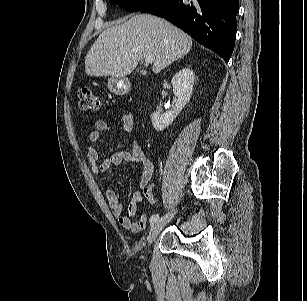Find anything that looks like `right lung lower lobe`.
<instances>
[{
  "mask_svg": "<svg viewBox=\"0 0 307 301\" xmlns=\"http://www.w3.org/2000/svg\"><path fill=\"white\" fill-rule=\"evenodd\" d=\"M239 0H157L142 12L163 17L225 61L234 50Z\"/></svg>",
  "mask_w": 307,
  "mask_h": 301,
  "instance_id": "obj_1",
  "label": "right lung lower lobe"
}]
</instances>
